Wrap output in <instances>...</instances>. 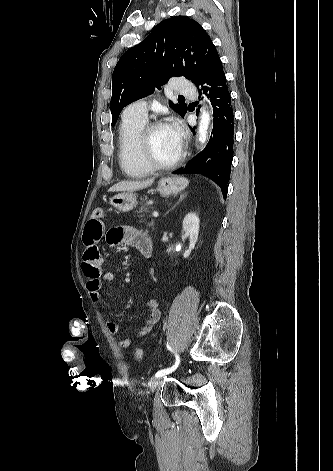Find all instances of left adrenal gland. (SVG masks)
Segmentation results:
<instances>
[{"instance_id":"left-adrenal-gland-1","label":"left adrenal gland","mask_w":333,"mask_h":471,"mask_svg":"<svg viewBox=\"0 0 333 471\" xmlns=\"http://www.w3.org/2000/svg\"><path fill=\"white\" fill-rule=\"evenodd\" d=\"M186 196H187L186 193H185V194H181V195H180V198H179V200H178V202L171 208V210H172L173 208H175V206L178 205ZM168 212H169V211H168ZM168 212H167V213H168Z\"/></svg>"}]
</instances>
